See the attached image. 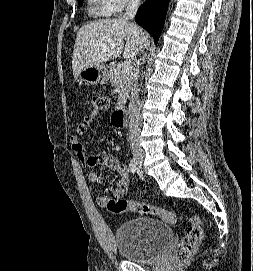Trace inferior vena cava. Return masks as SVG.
<instances>
[{
    "instance_id": "inferior-vena-cava-1",
    "label": "inferior vena cava",
    "mask_w": 253,
    "mask_h": 271,
    "mask_svg": "<svg viewBox=\"0 0 253 271\" xmlns=\"http://www.w3.org/2000/svg\"><path fill=\"white\" fill-rule=\"evenodd\" d=\"M140 0H129L126 7L125 13L123 15L124 20L133 19L136 15L137 9L139 7ZM138 63V69L139 70ZM140 99L137 88V82L134 83L131 93V100L129 104V140L132 152H142L140 145Z\"/></svg>"
}]
</instances>
